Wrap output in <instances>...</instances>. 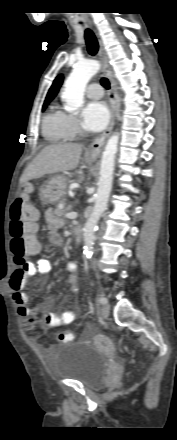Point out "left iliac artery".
<instances>
[{
	"label": "left iliac artery",
	"mask_w": 177,
	"mask_h": 440,
	"mask_svg": "<svg viewBox=\"0 0 177 440\" xmlns=\"http://www.w3.org/2000/svg\"><path fill=\"white\" fill-rule=\"evenodd\" d=\"M98 301H99V303H101V304H105L106 301H107V299L104 298V297H100Z\"/></svg>",
	"instance_id": "left-iliac-artery-1"
}]
</instances>
